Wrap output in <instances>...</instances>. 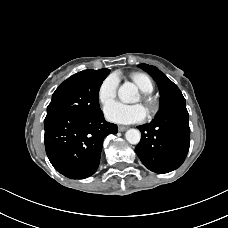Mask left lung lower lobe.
<instances>
[{"label":"left lung lower lobe","instance_id":"0a47b994","mask_svg":"<svg viewBox=\"0 0 228 228\" xmlns=\"http://www.w3.org/2000/svg\"><path fill=\"white\" fill-rule=\"evenodd\" d=\"M138 129L141 141L135 152L149 170L168 173L182 165L190 145L186 102L174 104Z\"/></svg>","mask_w":228,"mask_h":228}]
</instances>
